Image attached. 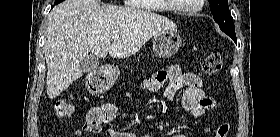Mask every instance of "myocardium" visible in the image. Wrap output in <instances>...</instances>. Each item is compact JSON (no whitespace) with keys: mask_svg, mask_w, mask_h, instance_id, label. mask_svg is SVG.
<instances>
[{"mask_svg":"<svg viewBox=\"0 0 280 137\" xmlns=\"http://www.w3.org/2000/svg\"><path fill=\"white\" fill-rule=\"evenodd\" d=\"M198 2L200 4L196 8L181 9V8H178L177 6H174V5H172L171 8L173 9V11H176V12L179 11V12H184V13H198V12H200L202 10L204 0H198Z\"/></svg>","mask_w":280,"mask_h":137,"instance_id":"f54148a6","label":"myocardium"}]
</instances>
